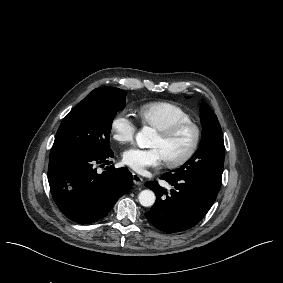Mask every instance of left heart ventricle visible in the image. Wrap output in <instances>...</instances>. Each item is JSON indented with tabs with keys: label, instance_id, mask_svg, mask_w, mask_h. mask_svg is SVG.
<instances>
[{
	"label": "left heart ventricle",
	"instance_id": "1",
	"mask_svg": "<svg viewBox=\"0 0 283 283\" xmlns=\"http://www.w3.org/2000/svg\"><path fill=\"white\" fill-rule=\"evenodd\" d=\"M193 140L194 132L192 128L187 127L170 141H163L158 135L153 142L152 147L161 150L164 161H174L180 159L187 153L193 143Z\"/></svg>",
	"mask_w": 283,
	"mask_h": 283
}]
</instances>
